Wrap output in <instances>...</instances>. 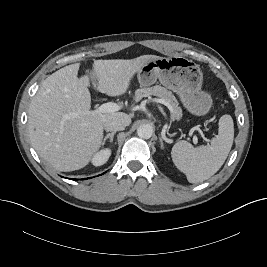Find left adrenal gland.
<instances>
[{"instance_id": "obj_1", "label": "left adrenal gland", "mask_w": 267, "mask_h": 267, "mask_svg": "<svg viewBox=\"0 0 267 267\" xmlns=\"http://www.w3.org/2000/svg\"><path fill=\"white\" fill-rule=\"evenodd\" d=\"M160 145H161V148L163 149V148H164V144H163V139H162V137H160Z\"/></svg>"}]
</instances>
